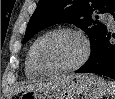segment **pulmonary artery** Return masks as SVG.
I'll return each mask as SVG.
<instances>
[{
	"mask_svg": "<svg viewBox=\"0 0 115 99\" xmlns=\"http://www.w3.org/2000/svg\"><path fill=\"white\" fill-rule=\"evenodd\" d=\"M103 20H105L108 24H113V18L110 14L105 13L102 15Z\"/></svg>",
	"mask_w": 115,
	"mask_h": 99,
	"instance_id": "obj_1",
	"label": "pulmonary artery"
}]
</instances>
